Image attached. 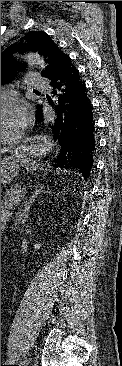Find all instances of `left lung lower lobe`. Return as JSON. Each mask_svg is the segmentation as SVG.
Listing matches in <instances>:
<instances>
[{"instance_id":"0a47b994","label":"left lung lower lobe","mask_w":122,"mask_h":366,"mask_svg":"<svg viewBox=\"0 0 122 366\" xmlns=\"http://www.w3.org/2000/svg\"><path fill=\"white\" fill-rule=\"evenodd\" d=\"M46 78L51 86V97L48 102L53 105L55 116L49 124L53 130L54 139H58L65 150L72 152L71 166L77 170L81 177L87 179L94 162L96 149V128L93 120V107L87 94V89L82 81L79 71L72 64L69 56ZM36 119L42 120V110L38 107ZM63 150L60 156H64ZM58 165L63 167L67 161L58 160Z\"/></svg>"}]
</instances>
